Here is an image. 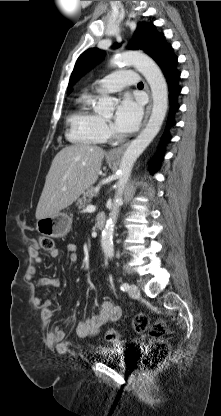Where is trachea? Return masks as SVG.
<instances>
[{"label":"trachea","instance_id":"1","mask_svg":"<svg viewBox=\"0 0 221 416\" xmlns=\"http://www.w3.org/2000/svg\"><path fill=\"white\" fill-rule=\"evenodd\" d=\"M138 87H143V83H142V82H140V83L138 84Z\"/></svg>","mask_w":221,"mask_h":416}]
</instances>
